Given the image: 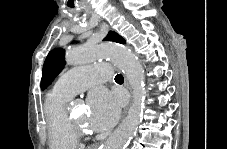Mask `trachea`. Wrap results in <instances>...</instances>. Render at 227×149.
Returning <instances> with one entry per match:
<instances>
[{
	"label": "trachea",
	"instance_id": "3493384b",
	"mask_svg": "<svg viewBox=\"0 0 227 149\" xmlns=\"http://www.w3.org/2000/svg\"><path fill=\"white\" fill-rule=\"evenodd\" d=\"M115 81L116 82H122V81H124V78L121 74H117L116 77H115Z\"/></svg>",
	"mask_w": 227,
	"mask_h": 149
}]
</instances>
